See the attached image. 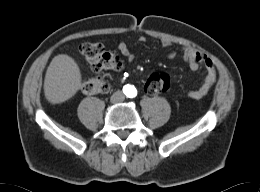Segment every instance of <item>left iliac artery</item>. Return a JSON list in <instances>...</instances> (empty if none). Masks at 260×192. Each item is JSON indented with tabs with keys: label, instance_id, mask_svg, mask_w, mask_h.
<instances>
[{
	"label": "left iliac artery",
	"instance_id": "obj_1",
	"mask_svg": "<svg viewBox=\"0 0 260 192\" xmlns=\"http://www.w3.org/2000/svg\"><path fill=\"white\" fill-rule=\"evenodd\" d=\"M136 95H137V91L136 90H132L131 94H130V97L134 98V97H136Z\"/></svg>",
	"mask_w": 260,
	"mask_h": 192
}]
</instances>
